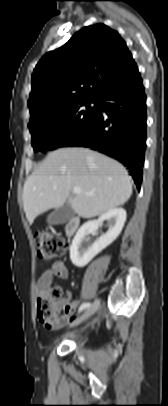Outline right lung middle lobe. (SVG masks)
Wrapping results in <instances>:
<instances>
[{
  "instance_id": "obj_1",
  "label": "right lung middle lobe",
  "mask_w": 168,
  "mask_h": 406,
  "mask_svg": "<svg viewBox=\"0 0 168 406\" xmlns=\"http://www.w3.org/2000/svg\"><path fill=\"white\" fill-rule=\"evenodd\" d=\"M95 103L89 107V103ZM97 113L96 99H86L53 115L28 125L32 134L34 151L54 150L63 147L70 139L80 134Z\"/></svg>"
}]
</instances>
